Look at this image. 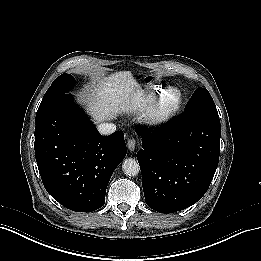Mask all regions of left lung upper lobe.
Here are the masks:
<instances>
[{
	"instance_id": "5c2ea615",
	"label": "left lung upper lobe",
	"mask_w": 261,
	"mask_h": 261,
	"mask_svg": "<svg viewBox=\"0 0 261 261\" xmlns=\"http://www.w3.org/2000/svg\"><path fill=\"white\" fill-rule=\"evenodd\" d=\"M193 111L218 114L214 101L207 89L201 87L197 88L188 101L184 113Z\"/></svg>"
}]
</instances>
